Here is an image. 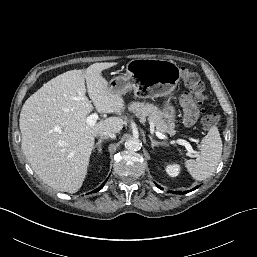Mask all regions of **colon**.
<instances>
[{"label":"colon","instance_id":"obj_1","mask_svg":"<svg viewBox=\"0 0 257 257\" xmlns=\"http://www.w3.org/2000/svg\"><path fill=\"white\" fill-rule=\"evenodd\" d=\"M181 78L184 85L189 89L196 102L200 104L203 103L206 100V95L204 92V84L199 76L196 73L183 68L181 71ZM220 120L221 117L218 113L205 111L202 116L201 122L203 127L206 130H209L216 127L219 124Z\"/></svg>","mask_w":257,"mask_h":257}]
</instances>
